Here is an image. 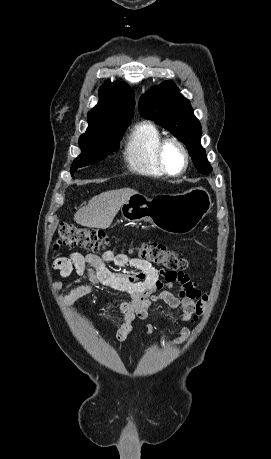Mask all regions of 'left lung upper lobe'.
Wrapping results in <instances>:
<instances>
[{"label":"left lung upper lobe","instance_id":"5c2ea615","mask_svg":"<svg viewBox=\"0 0 271 459\" xmlns=\"http://www.w3.org/2000/svg\"><path fill=\"white\" fill-rule=\"evenodd\" d=\"M140 113L168 129L188 149L194 166L202 174L212 171L202 148L201 125L193 114L189 101L172 81H164L143 95L139 101Z\"/></svg>","mask_w":271,"mask_h":459}]
</instances>
